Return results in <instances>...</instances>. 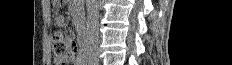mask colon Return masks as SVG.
<instances>
[{
  "mask_svg": "<svg viewBox=\"0 0 232 65\" xmlns=\"http://www.w3.org/2000/svg\"><path fill=\"white\" fill-rule=\"evenodd\" d=\"M52 53L54 61L60 65H67L76 53V44L70 37H64L57 31L52 36Z\"/></svg>",
  "mask_w": 232,
  "mask_h": 65,
  "instance_id": "1",
  "label": "colon"
}]
</instances>
